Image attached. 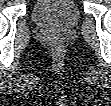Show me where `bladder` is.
I'll return each instance as SVG.
<instances>
[{
  "mask_svg": "<svg viewBox=\"0 0 111 106\" xmlns=\"http://www.w3.org/2000/svg\"><path fill=\"white\" fill-rule=\"evenodd\" d=\"M31 17L38 26L65 31L79 23L81 12L72 0H38Z\"/></svg>",
  "mask_w": 111,
  "mask_h": 106,
  "instance_id": "bladder-1",
  "label": "bladder"
}]
</instances>
